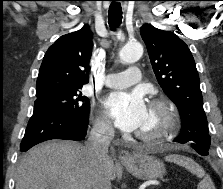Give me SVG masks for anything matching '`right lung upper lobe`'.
I'll use <instances>...</instances> for the list:
<instances>
[{
    "mask_svg": "<svg viewBox=\"0 0 223 189\" xmlns=\"http://www.w3.org/2000/svg\"><path fill=\"white\" fill-rule=\"evenodd\" d=\"M92 46L89 26L61 36L49 47L43 58L36 93L50 89L82 87L88 83Z\"/></svg>",
    "mask_w": 223,
    "mask_h": 189,
    "instance_id": "obj_1",
    "label": "right lung upper lobe"
}]
</instances>
